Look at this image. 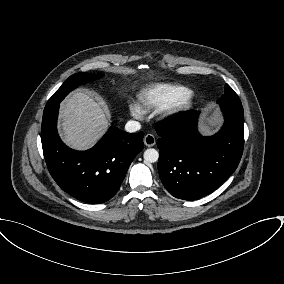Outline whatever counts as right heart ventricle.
Wrapping results in <instances>:
<instances>
[{"label":"right heart ventricle","mask_w":284,"mask_h":284,"mask_svg":"<svg viewBox=\"0 0 284 284\" xmlns=\"http://www.w3.org/2000/svg\"><path fill=\"white\" fill-rule=\"evenodd\" d=\"M189 92V88L184 85L156 83L140 91L138 103L146 111L162 109L181 100Z\"/></svg>","instance_id":"right-heart-ventricle-1"}]
</instances>
